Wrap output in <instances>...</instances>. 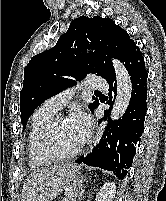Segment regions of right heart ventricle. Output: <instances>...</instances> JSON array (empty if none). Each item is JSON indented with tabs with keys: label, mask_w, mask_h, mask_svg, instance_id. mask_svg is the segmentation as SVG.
I'll return each instance as SVG.
<instances>
[{
	"label": "right heart ventricle",
	"mask_w": 166,
	"mask_h": 201,
	"mask_svg": "<svg viewBox=\"0 0 166 201\" xmlns=\"http://www.w3.org/2000/svg\"><path fill=\"white\" fill-rule=\"evenodd\" d=\"M55 114L56 112H53L42 106L36 110L31 117L27 141V151L29 156V165L32 168H38L53 161L49 158L39 156L36 143L39 130L47 121L54 117Z\"/></svg>",
	"instance_id": "right-heart-ventricle-1"
}]
</instances>
